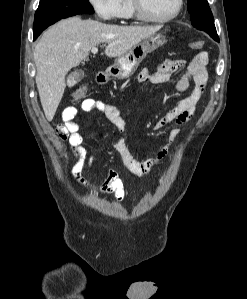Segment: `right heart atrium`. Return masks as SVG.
Returning <instances> with one entry per match:
<instances>
[{
  "label": "right heart atrium",
  "mask_w": 247,
  "mask_h": 299,
  "mask_svg": "<svg viewBox=\"0 0 247 299\" xmlns=\"http://www.w3.org/2000/svg\"><path fill=\"white\" fill-rule=\"evenodd\" d=\"M96 16L101 20H114L119 16L120 0H88Z\"/></svg>",
  "instance_id": "obj_1"
}]
</instances>
